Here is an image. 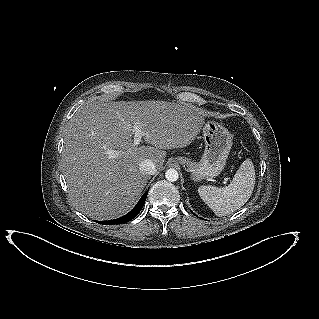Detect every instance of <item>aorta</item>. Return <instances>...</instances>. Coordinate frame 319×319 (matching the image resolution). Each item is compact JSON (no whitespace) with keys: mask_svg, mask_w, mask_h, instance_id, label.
<instances>
[{"mask_svg":"<svg viewBox=\"0 0 319 319\" xmlns=\"http://www.w3.org/2000/svg\"><path fill=\"white\" fill-rule=\"evenodd\" d=\"M165 177L169 182H175L179 178V174L175 169H168L165 173Z\"/></svg>","mask_w":319,"mask_h":319,"instance_id":"762f6f07","label":"aorta"}]
</instances>
